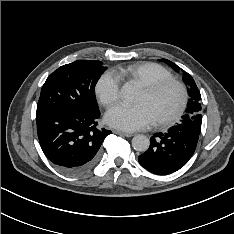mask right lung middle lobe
Wrapping results in <instances>:
<instances>
[{
	"mask_svg": "<svg viewBox=\"0 0 234 234\" xmlns=\"http://www.w3.org/2000/svg\"><path fill=\"white\" fill-rule=\"evenodd\" d=\"M104 70L101 61L92 60H78L59 67L42 87L37 114L57 108L87 114L98 112L94 89Z\"/></svg>",
	"mask_w": 234,
	"mask_h": 234,
	"instance_id": "obj_1",
	"label": "right lung middle lobe"
}]
</instances>
